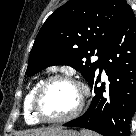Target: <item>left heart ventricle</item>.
<instances>
[{
	"instance_id": "b2bd125f",
	"label": "left heart ventricle",
	"mask_w": 136,
	"mask_h": 136,
	"mask_svg": "<svg viewBox=\"0 0 136 136\" xmlns=\"http://www.w3.org/2000/svg\"><path fill=\"white\" fill-rule=\"evenodd\" d=\"M78 91L70 83L64 81L51 82L41 95L39 109L50 118L63 117L76 107Z\"/></svg>"
}]
</instances>
